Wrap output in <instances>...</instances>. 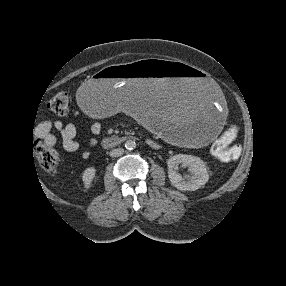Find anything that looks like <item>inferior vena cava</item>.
<instances>
[{
	"instance_id": "1",
	"label": "inferior vena cava",
	"mask_w": 286,
	"mask_h": 286,
	"mask_svg": "<svg viewBox=\"0 0 286 286\" xmlns=\"http://www.w3.org/2000/svg\"><path fill=\"white\" fill-rule=\"evenodd\" d=\"M124 150L122 148H116V149H112L110 151V156L111 157H119L121 155H123Z\"/></svg>"
}]
</instances>
